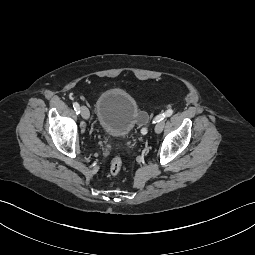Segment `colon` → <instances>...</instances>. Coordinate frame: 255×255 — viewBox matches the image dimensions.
I'll use <instances>...</instances> for the list:
<instances>
[{"label": "colon", "instance_id": "obj_1", "mask_svg": "<svg viewBox=\"0 0 255 255\" xmlns=\"http://www.w3.org/2000/svg\"><path fill=\"white\" fill-rule=\"evenodd\" d=\"M147 120V116L142 114L141 118H140V122H145ZM122 170V160L120 156H115L111 163H110V167H109V173L112 176H117Z\"/></svg>", "mask_w": 255, "mask_h": 255}]
</instances>
